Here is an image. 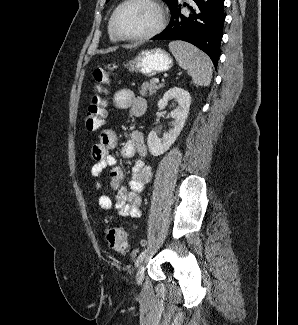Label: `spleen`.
<instances>
[{
	"instance_id": "obj_1",
	"label": "spleen",
	"mask_w": 298,
	"mask_h": 325,
	"mask_svg": "<svg viewBox=\"0 0 298 325\" xmlns=\"http://www.w3.org/2000/svg\"><path fill=\"white\" fill-rule=\"evenodd\" d=\"M169 50L179 66L186 68L196 86H209L213 74L212 62L205 52L184 40H171Z\"/></svg>"
}]
</instances>
